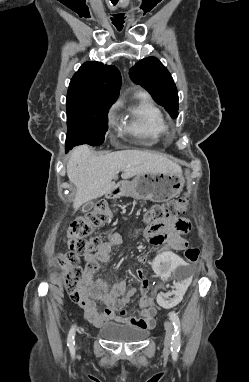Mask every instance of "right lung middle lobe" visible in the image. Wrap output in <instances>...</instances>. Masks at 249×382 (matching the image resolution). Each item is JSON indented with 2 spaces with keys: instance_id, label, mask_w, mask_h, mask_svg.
I'll list each match as a JSON object with an SVG mask.
<instances>
[{
  "instance_id": "1",
  "label": "right lung middle lobe",
  "mask_w": 249,
  "mask_h": 382,
  "mask_svg": "<svg viewBox=\"0 0 249 382\" xmlns=\"http://www.w3.org/2000/svg\"><path fill=\"white\" fill-rule=\"evenodd\" d=\"M111 103L92 102L67 110L68 133L66 151L80 144L92 146L104 142L107 131V113Z\"/></svg>"
}]
</instances>
